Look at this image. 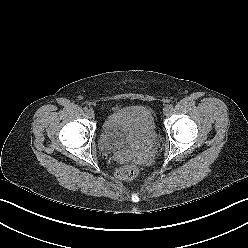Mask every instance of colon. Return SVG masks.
<instances>
[{
	"mask_svg": "<svg viewBox=\"0 0 248 248\" xmlns=\"http://www.w3.org/2000/svg\"><path fill=\"white\" fill-rule=\"evenodd\" d=\"M139 174V168L135 164H127L119 168L116 172V176L123 181H129L135 179Z\"/></svg>",
	"mask_w": 248,
	"mask_h": 248,
	"instance_id": "colon-1",
	"label": "colon"
}]
</instances>
